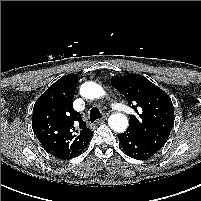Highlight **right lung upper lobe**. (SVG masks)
Returning <instances> with one entry per match:
<instances>
[{
	"instance_id": "right-lung-upper-lobe-1",
	"label": "right lung upper lobe",
	"mask_w": 201,
	"mask_h": 201,
	"mask_svg": "<svg viewBox=\"0 0 201 201\" xmlns=\"http://www.w3.org/2000/svg\"><path fill=\"white\" fill-rule=\"evenodd\" d=\"M77 76L68 74L53 83L36 101L32 128L42 147L56 157L78 152L92 135L73 110Z\"/></svg>"
}]
</instances>
